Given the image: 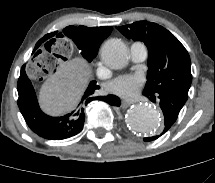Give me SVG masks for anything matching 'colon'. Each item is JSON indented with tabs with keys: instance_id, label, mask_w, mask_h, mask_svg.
I'll return each mask as SVG.
<instances>
[{
	"instance_id": "1",
	"label": "colon",
	"mask_w": 215,
	"mask_h": 183,
	"mask_svg": "<svg viewBox=\"0 0 215 183\" xmlns=\"http://www.w3.org/2000/svg\"><path fill=\"white\" fill-rule=\"evenodd\" d=\"M73 41L66 34H55L37 49L28 62V73L35 80L48 79L73 52Z\"/></svg>"
}]
</instances>
